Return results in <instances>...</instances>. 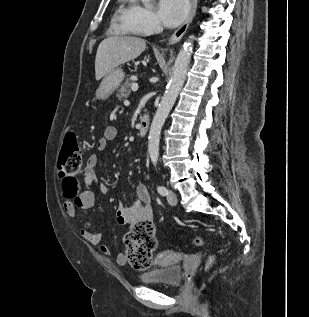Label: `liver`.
<instances>
[{
	"label": "liver",
	"instance_id": "liver-1",
	"mask_svg": "<svg viewBox=\"0 0 309 317\" xmlns=\"http://www.w3.org/2000/svg\"><path fill=\"white\" fill-rule=\"evenodd\" d=\"M146 49V41L138 37L111 36L98 46L95 78L100 80L120 65L137 58Z\"/></svg>",
	"mask_w": 309,
	"mask_h": 317
}]
</instances>
